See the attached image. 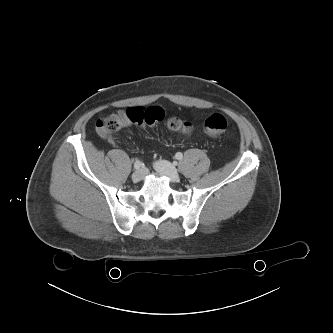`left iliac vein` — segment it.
I'll list each match as a JSON object with an SVG mask.
<instances>
[{"instance_id": "left-iliac-vein-1", "label": "left iliac vein", "mask_w": 333, "mask_h": 333, "mask_svg": "<svg viewBox=\"0 0 333 333\" xmlns=\"http://www.w3.org/2000/svg\"><path fill=\"white\" fill-rule=\"evenodd\" d=\"M154 168L157 172L169 177L172 182H177L180 178L177 169L168 161H156L154 163Z\"/></svg>"}]
</instances>
